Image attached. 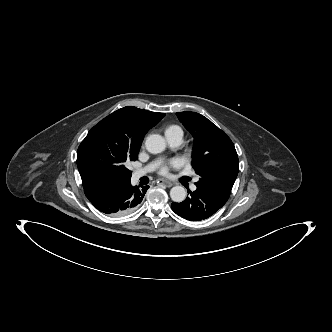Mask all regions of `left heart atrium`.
Returning <instances> with one entry per match:
<instances>
[{"instance_id":"obj_1","label":"left heart atrium","mask_w":332,"mask_h":332,"mask_svg":"<svg viewBox=\"0 0 332 332\" xmlns=\"http://www.w3.org/2000/svg\"><path fill=\"white\" fill-rule=\"evenodd\" d=\"M181 165L178 159H171L163 163L159 169L161 175H168L171 168H178Z\"/></svg>"}]
</instances>
